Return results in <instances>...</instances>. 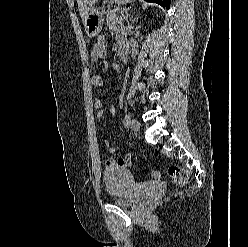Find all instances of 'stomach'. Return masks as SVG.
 Here are the masks:
<instances>
[{"mask_svg":"<svg viewBox=\"0 0 248 247\" xmlns=\"http://www.w3.org/2000/svg\"><path fill=\"white\" fill-rule=\"evenodd\" d=\"M111 3H117V4H126L131 2V0H106ZM104 18L103 14L98 11L97 9L90 7L84 20V27H85V32L88 37H96L103 26Z\"/></svg>","mask_w":248,"mask_h":247,"instance_id":"stomach-1","label":"stomach"}]
</instances>
